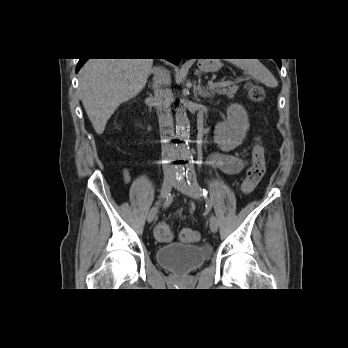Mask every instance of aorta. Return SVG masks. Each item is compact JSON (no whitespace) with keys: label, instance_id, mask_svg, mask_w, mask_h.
Wrapping results in <instances>:
<instances>
[{"label":"aorta","instance_id":"aorta-1","mask_svg":"<svg viewBox=\"0 0 348 348\" xmlns=\"http://www.w3.org/2000/svg\"><path fill=\"white\" fill-rule=\"evenodd\" d=\"M186 95L187 93L184 92V96ZM175 119L176 138L179 140V142L176 143L177 154L182 158H188L191 155L189 148L190 122L185 106H181L176 109Z\"/></svg>","mask_w":348,"mask_h":348}]
</instances>
